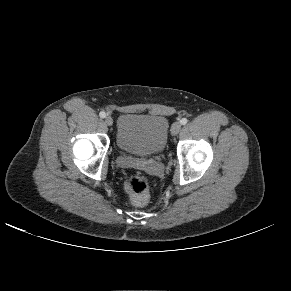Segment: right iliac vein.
Here are the masks:
<instances>
[{"label": "right iliac vein", "mask_w": 291, "mask_h": 291, "mask_svg": "<svg viewBox=\"0 0 291 291\" xmlns=\"http://www.w3.org/2000/svg\"><path fill=\"white\" fill-rule=\"evenodd\" d=\"M105 123L106 125L111 126L113 124V119L110 116H107L105 118Z\"/></svg>", "instance_id": "right-iliac-vein-1"}]
</instances>
